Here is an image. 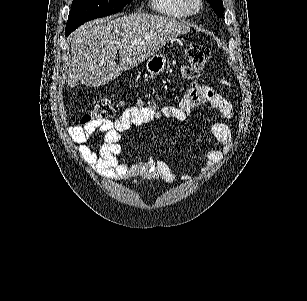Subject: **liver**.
<instances>
[{"label": "liver", "instance_id": "liver-1", "mask_svg": "<svg viewBox=\"0 0 307 301\" xmlns=\"http://www.w3.org/2000/svg\"><path fill=\"white\" fill-rule=\"evenodd\" d=\"M190 22L169 16L132 12L118 18H97L76 28L68 40L71 62L68 86H102L122 70L138 66L178 34L190 32ZM119 50V64L115 58Z\"/></svg>", "mask_w": 307, "mask_h": 301}]
</instances>
